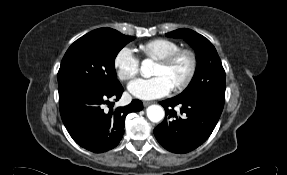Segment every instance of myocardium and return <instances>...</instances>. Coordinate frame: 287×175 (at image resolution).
Here are the masks:
<instances>
[{"label": "myocardium", "instance_id": "f54148a6", "mask_svg": "<svg viewBox=\"0 0 287 175\" xmlns=\"http://www.w3.org/2000/svg\"><path fill=\"white\" fill-rule=\"evenodd\" d=\"M182 57H186L188 59L189 70L186 76L175 86H173V90L175 92H179L187 88L194 79L198 67V60L195 52L191 49L180 48L179 50L157 60L158 63L168 67L173 65L178 59Z\"/></svg>", "mask_w": 287, "mask_h": 175}]
</instances>
